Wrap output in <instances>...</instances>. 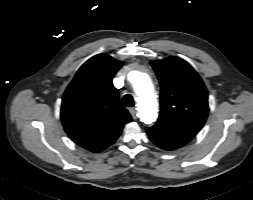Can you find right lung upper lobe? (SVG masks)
<instances>
[{
  "instance_id": "right-lung-upper-lobe-1",
  "label": "right lung upper lobe",
  "mask_w": 253,
  "mask_h": 200,
  "mask_svg": "<svg viewBox=\"0 0 253 200\" xmlns=\"http://www.w3.org/2000/svg\"><path fill=\"white\" fill-rule=\"evenodd\" d=\"M123 62L98 54L86 61L67 87L61 106L66 133L79 146L100 152L119 137L131 115L112 83Z\"/></svg>"
}]
</instances>
